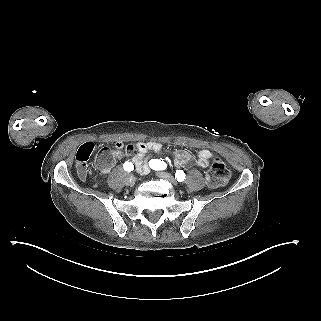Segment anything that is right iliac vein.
Masks as SVG:
<instances>
[{"label": "right iliac vein", "instance_id": "1", "mask_svg": "<svg viewBox=\"0 0 321 321\" xmlns=\"http://www.w3.org/2000/svg\"><path fill=\"white\" fill-rule=\"evenodd\" d=\"M126 183H127V185L132 186L133 183H134V177L132 175H130V174L127 175Z\"/></svg>", "mask_w": 321, "mask_h": 321}]
</instances>
